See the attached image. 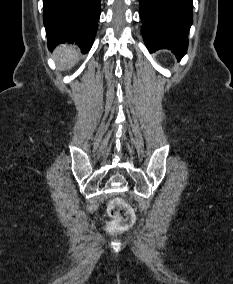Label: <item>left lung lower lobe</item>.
Masks as SVG:
<instances>
[{
	"label": "left lung lower lobe",
	"instance_id": "1",
	"mask_svg": "<svg viewBox=\"0 0 233 284\" xmlns=\"http://www.w3.org/2000/svg\"><path fill=\"white\" fill-rule=\"evenodd\" d=\"M142 35L150 53L171 50L181 59L188 48L193 0H139Z\"/></svg>",
	"mask_w": 233,
	"mask_h": 284
}]
</instances>
